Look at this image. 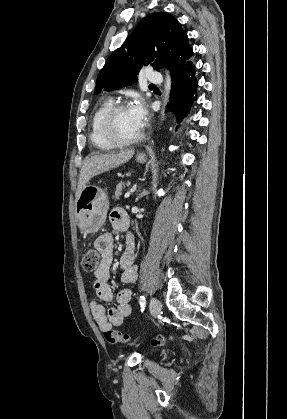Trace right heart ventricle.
Returning a JSON list of instances; mask_svg holds the SVG:
<instances>
[{
  "label": "right heart ventricle",
  "mask_w": 287,
  "mask_h": 419,
  "mask_svg": "<svg viewBox=\"0 0 287 419\" xmlns=\"http://www.w3.org/2000/svg\"><path fill=\"white\" fill-rule=\"evenodd\" d=\"M113 104V100L110 98L103 100L91 117L89 139L93 146L101 150H110L117 147V145L107 140L101 131V120Z\"/></svg>",
  "instance_id": "e07e8e85"
}]
</instances>
